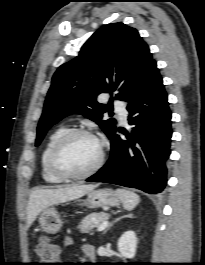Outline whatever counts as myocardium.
<instances>
[{
  "label": "myocardium",
  "mask_w": 205,
  "mask_h": 265,
  "mask_svg": "<svg viewBox=\"0 0 205 265\" xmlns=\"http://www.w3.org/2000/svg\"><path fill=\"white\" fill-rule=\"evenodd\" d=\"M76 136H87L93 138L99 145L100 148V153L98 160L96 163L87 171L79 174H70L65 171H63L57 164V156L61 149L74 137ZM105 160V152L103 145L99 138L91 131L83 128H74V129H69L66 131L63 135H61L56 142L53 144L51 147L49 154H48V167L50 171L58 178L61 180H66V181H77V180H83L86 178L91 177L92 175L96 174L101 167L103 166Z\"/></svg>",
  "instance_id": "obj_1"
}]
</instances>
